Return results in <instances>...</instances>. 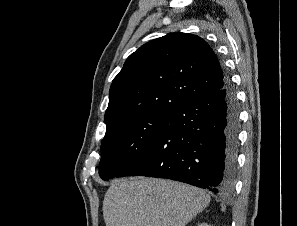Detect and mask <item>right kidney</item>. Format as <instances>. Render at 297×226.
<instances>
[{
	"label": "right kidney",
	"mask_w": 297,
	"mask_h": 226,
	"mask_svg": "<svg viewBox=\"0 0 297 226\" xmlns=\"http://www.w3.org/2000/svg\"><path fill=\"white\" fill-rule=\"evenodd\" d=\"M199 226H211V225H207V224H201V225H199Z\"/></svg>",
	"instance_id": "right-kidney-1"
}]
</instances>
